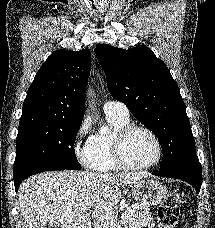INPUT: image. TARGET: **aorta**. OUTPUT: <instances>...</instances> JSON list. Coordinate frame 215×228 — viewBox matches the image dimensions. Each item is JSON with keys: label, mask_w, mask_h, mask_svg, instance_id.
I'll return each instance as SVG.
<instances>
[{"label": "aorta", "mask_w": 215, "mask_h": 228, "mask_svg": "<svg viewBox=\"0 0 215 228\" xmlns=\"http://www.w3.org/2000/svg\"><path fill=\"white\" fill-rule=\"evenodd\" d=\"M90 96V94H89ZM99 124H101V122H99ZM108 128H106V126H101L100 128V132H107Z\"/></svg>", "instance_id": "aorta-1"}]
</instances>
